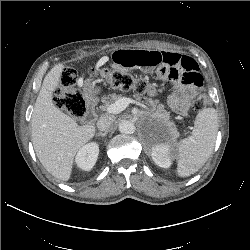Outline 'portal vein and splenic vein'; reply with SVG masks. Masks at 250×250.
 Returning a JSON list of instances; mask_svg holds the SVG:
<instances>
[{"label": "portal vein and splenic vein", "mask_w": 250, "mask_h": 250, "mask_svg": "<svg viewBox=\"0 0 250 250\" xmlns=\"http://www.w3.org/2000/svg\"><path fill=\"white\" fill-rule=\"evenodd\" d=\"M131 102V100L129 98H120L119 100L115 101L114 103H112L111 105H109L106 109L107 113L110 114H118L121 113L122 111H124L129 103Z\"/></svg>", "instance_id": "obj_1"}]
</instances>
